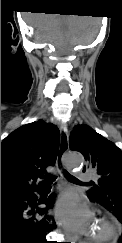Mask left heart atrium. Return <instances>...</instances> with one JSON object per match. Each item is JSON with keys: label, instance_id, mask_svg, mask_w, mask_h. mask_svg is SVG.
Masks as SVG:
<instances>
[{"label": "left heart atrium", "instance_id": "obj_1", "mask_svg": "<svg viewBox=\"0 0 122 243\" xmlns=\"http://www.w3.org/2000/svg\"><path fill=\"white\" fill-rule=\"evenodd\" d=\"M56 212L70 230L85 233L92 227V212L85 205H80L74 197L62 199Z\"/></svg>", "mask_w": 122, "mask_h": 243}]
</instances>
